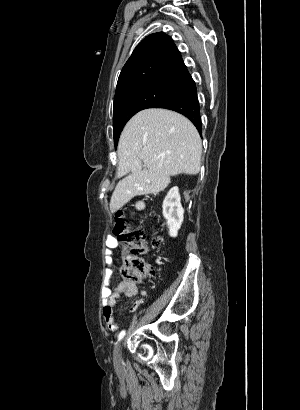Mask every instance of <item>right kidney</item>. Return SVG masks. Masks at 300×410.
I'll list each match as a JSON object with an SVG mask.
<instances>
[{
	"label": "right kidney",
	"mask_w": 300,
	"mask_h": 410,
	"mask_svg": "<svg viewBox=\"0 0 300 410\" xmlns=\"http://www.w3.org/2000/svg\"><path fill=\"white\" fill-rule=\"evenodd\" d=\"M162 208L163 216L167 221L169 235L176 237L184 219V209L181 205L178 187L175 186L169 190L163 201Z\"/></svg>",
	"instance_id": "1"
}]
</instances>
